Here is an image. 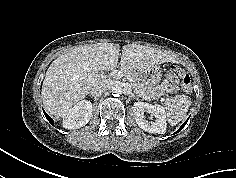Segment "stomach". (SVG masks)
Wrapping results in <instances>:
<instances>
[{
  "label": "stomach",
  "mask_w": 236,
  "mask_h": 178,
  "mask_svg": "<svg viewBox=\"0 0 236 178\" xmlns=\"http://www.w3.org/2000/svg\"><path fill=\"white\" fill-rule=\"evenodd\" d=\"M138 74L141 82L150 87L158 84L162 78V71L158 66L140 70Z\"/></svg>",
  "instance_id": "stomach-1"
}]
</instances>
